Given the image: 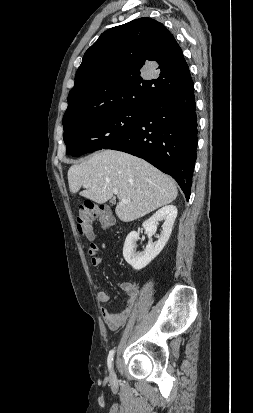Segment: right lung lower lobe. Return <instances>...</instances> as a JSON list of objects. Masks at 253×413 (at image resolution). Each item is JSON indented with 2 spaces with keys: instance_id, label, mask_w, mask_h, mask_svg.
Segmentation results:
<instances>
[{
  "instance_id": "right-lung-lower-lobe-1",
  "label": "right lung lower lobe",
  "mask_w": 253,
  "mask_h": 413,
  "mask_svg": "<svg viewBox=\"0 0 253 413\" xmlns=\"http://www.w3.org/2000/svg\"><path fill=\"white\" fill-rule=\"evenodd\" d=\"M138 125L105 149L123 151L171 175L188 200L197 158L194 84L145 105Z\"/></svg>"
}]
</instances>
